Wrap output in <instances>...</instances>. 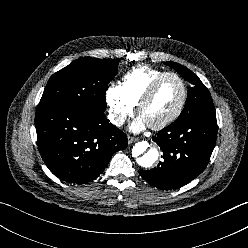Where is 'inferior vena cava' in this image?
I'll return each mask as SVG.
<instances>
[{
    "instance_id": "inferior-vena-cava-1",
    "label": "inferior vena cava",
    "mask_w": 248,
    "mask_h": 248,
    "mask_svg": "<svg viewBox=\"0 0 248 248\" xmlns=\"http://www.w3.org/2000/svg\"><path fill=\"white\" fill-rule=\"evenodd\" d=\"M109 120L113 123V124H121L125 121L124 117L122 116H114V115H110L109 116Z\"/></svg>"
}]
</instances>
